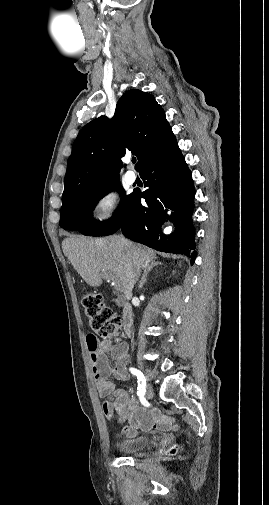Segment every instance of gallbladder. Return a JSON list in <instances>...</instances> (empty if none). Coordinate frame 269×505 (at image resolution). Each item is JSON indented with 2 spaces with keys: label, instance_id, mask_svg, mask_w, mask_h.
Returning <instances> with one entry per match:
<instances>
[{
  "label": "gallbladder",
  "instance_id": "1",
  "mask_svg": "<svg viewBox=\"0 0 269 505\" xmlns=\"http://www.w3.org/2000/svg\"><path fill=\"white\" fill-rule=\"evenodd\" d=\"M118 305H122V301H120Z\"/></svg>",
  "mask_w": 269,
  "mask_h": 505
}]
</instances>
